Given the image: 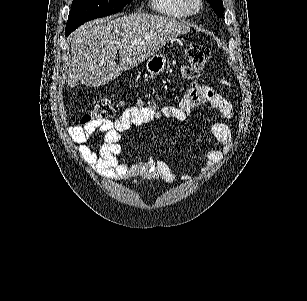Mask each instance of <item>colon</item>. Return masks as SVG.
Segmentation results:
<instances>
[{"instance_id":"5ec220e1","label":"colon","mask_w":307,"mask_h":301,"mask_svg":"<svg viewBox=\"0 0 307 301\" xmlns=\"http://www.w3.org/2000/svg\"><path fill=\"white\" fill-rule=\"evenodd\" d=\"M185 55L186 62L182 67L181 74L185 79L194 80L208 63L211 56L210 49L205 45L190 44L186 48ZM115 112L114 104L108 99H102L81 117L80 122L82 125H88L94 122L108 121L115 115Z\"/></svg>"}]
</instances>
